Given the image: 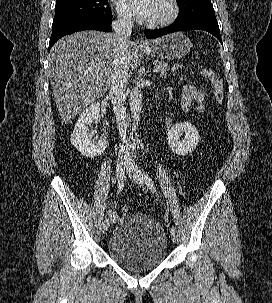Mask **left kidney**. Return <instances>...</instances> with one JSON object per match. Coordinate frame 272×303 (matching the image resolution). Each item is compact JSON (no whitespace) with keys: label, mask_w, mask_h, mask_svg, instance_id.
Masks as SVG:
<instances>
[{"label":"left kidney","mask_w":272,"mask_h":303,"mask_svg":"<svg viewBox=\"0 0 272 303\" xmlns=\"http://www.w3.org/2000/svg\"><path fill=\"white\" fill-rule=\"evenodd\" d=\"M183 132L184 138L181 140ZM170 148L178 155H187L192 152L199 142V132L195 126L189 122H184L172 126L167 134Z\"/></svg>","instance_id":"5707ae66"}]
</instances>
